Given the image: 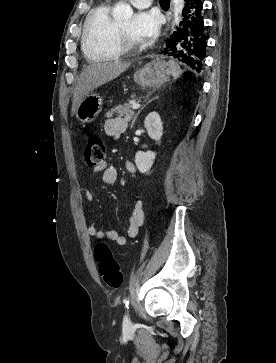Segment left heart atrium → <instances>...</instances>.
<instances>
[{
  "label": "left heart atrium",
  "instance_id": "left-heart-atrium-1",
  "mask_svg": "<svg viewBox=\"0 0 276 363\" xmlns=\"http://www.w3.org/2000/svg\"><path fill=\"white\" fill-rule=\"evenodd\" d=\"M160 17L155 11H139L132 19L131 32L139 41L153 40L159 31Z\"/></svg>",
  "mask_w": 276,
  "mask_h": 363
}]
</instances>
